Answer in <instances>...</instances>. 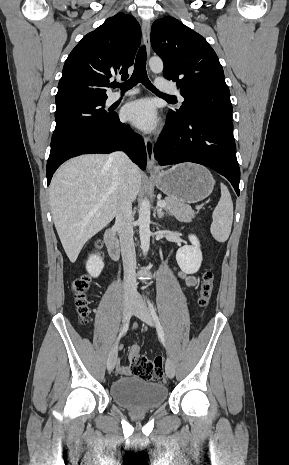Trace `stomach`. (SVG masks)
<instances>
[{
	"mask_svg": "<svg viewBox=\"0 0 289 465\" xmlns=\"http://www.w3.org/2000/svg\"><path fill=\"white\" fill-rule=\"evenodd\" d=\"M152 177L163 193L183 203L202 201L214 188V179L209 170L194 163H181L152 174Z\"/></svg>",
	"mask_w": 289,
	"mask_h": 465,
	"instance_id": "0dacf381",
	"label": "stomach"
}]
</instances>
